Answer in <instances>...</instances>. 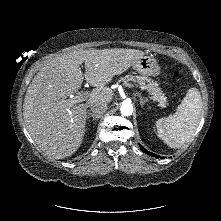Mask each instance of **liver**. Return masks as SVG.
<instances>
[{
    "label": "liver",
    "instance_id": "liver-1",
    "mask_svg": "<svg viewBox=\"0 0 221 221\" xmlns=\"http://www.w3.org/2000/svg\"><path fill=\"white\" fill-rule=\"evenodd\" d=\"M144 55L136 49H79L45 65L30 83L23 104L26 129L39 148L56 159L75 153L84 137L87 107L110 102L113 91L107 84ZM83 62L85 74L79 67ZM84 77L95 87L86 103L66 100L80 89Z\"/></svg>",
    "mask_w": 221,
    "mask_h": 221
}]
</instances>
